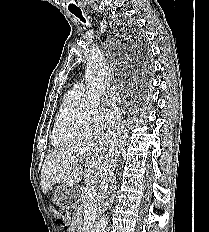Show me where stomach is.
<instances>
[{
    "instance_id": "0dacf381",
    "label": "stomach",
    "mask_w": 209,
    "mask_h": 232,
    "mask_svg": "<svg viewBox=\"0 0 209 232\" xmlns=\"http://www.w3.org/2000/svg\"><path fill=\"white\" fill-rule=\"evenodd\" d=\"M81 191H84V186H59V188H56L53 203H56L63 211H66L77 206Z\"/></svg>"
}]
</instances>
